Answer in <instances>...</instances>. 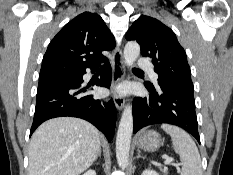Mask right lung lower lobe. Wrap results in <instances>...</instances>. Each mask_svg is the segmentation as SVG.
<instances>
[{
  "mask_svg": "<svg viewBox=\"0 0 233 175\" xmlns=\"http://www.w3.org/2000/svg\"><path fill=\"white\" fill-rule=\"evenodd\" d=\"M106 68L97 80L96 85L110 87L111 67L107 60ZM100 65V64H99ZM93 67L94 72L99 67ZM86 71L75 74L72 79L54 82L37 90V102L30 135L44 121L61 116L85 119L102 131L110 142L116 126V109L113 100L108 102L96 100L93 95H86V87H82L83 75Z\"/></svg>",
  "mask_w": 233,
  "mask_h": 175,
  "instance_id": "1",
  "label": "right lung lower lobe"
}]
</instances>
